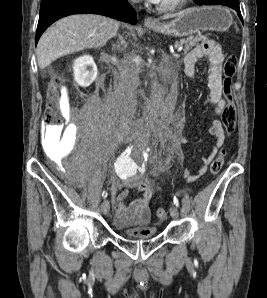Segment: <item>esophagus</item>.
Segmentation results:
<instances>
[{"label":"esophagus","mask_w":267,"mask_h":298,"mask_svg":"<svg viewBox=\"0 0 267 298\" xmlns=\"http://www.w3.org/2000/svg\"><path fill=\"white\" fill-rule=\"evenodd\" d=\"M144 25L145 26H155L157 25V21L153 19L152 17L148 16L144 20Z\"/></svg>","instance_id":"obj_1"}]
</instances>
